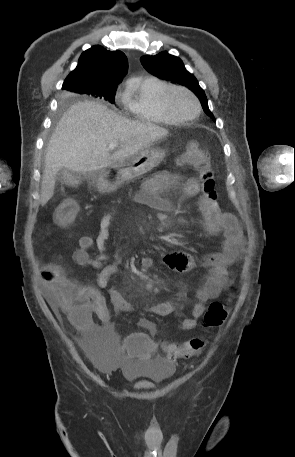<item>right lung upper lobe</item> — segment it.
Listing matches in <instances>:
<instances>
[{
	"label": "right lung upper lobe",
	"mask_w": 295,
	"mask_h": 457,
	"mask_svg": "<svg viewBox=\"0 0 295 457\" xmlns=\"http://www.w3.org/2000/svg\"><path fill=\"white\" fill-rule=\"evenodd\" d=\"M127 69L128 62L123 52L108 51L96 45L81 54L78 66L67 76L62 89L73 92L75 84L93 89L117 87Z\"/></svg>",
	"instance_id": "1"
}]
</instances>
